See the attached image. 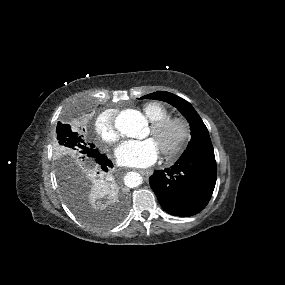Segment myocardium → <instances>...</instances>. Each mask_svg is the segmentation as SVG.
<instances>
[{"label":"myocardium","mask_w":285,"mask_h":285,"mask_svg":"<svg viewBox=\"0 0 285 285\" xmlns=\"http://www.w3.org/2000/svg\"><path fill=\"white\" fill-rule=\"evenodd\" d=\"M152 135L159 139H165L170 131L176 130V136L171 143H165L161 148L163 156L168 160H174L184 151L191 136V128L188 121L180 116H168L164 119L152 122Z\"/></svg>","instance_id":"f54148a6"}]
</instances>
